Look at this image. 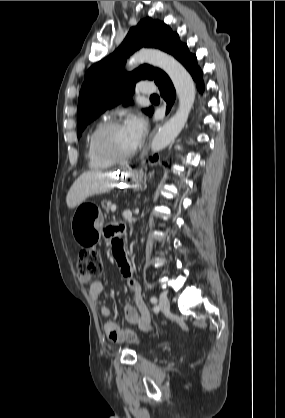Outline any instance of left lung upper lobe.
Listing matches in <instances>:
<instances>
[{
  "label": "left lung upper lobe",
  "instance_id": "1",
  "mask_svg": "<svg viewBox=\"0 0 285 418\" xmlns=\"http://www.w3.org/2000/svg\"><path fill=\"white\" fill-rule=\"evenodd\" d=\"M179 40L164 22L146 18L132 27L122 44L112 54L92 65L85 74L79 94L77 109V136L86 126L110 109L123 102L133 104L131 96L136 83L142 79L156 82L163 72L150 65H141L132 72H125L127 57L142 47L159 48L170 53L173 44ZM152 108L145 113L151 115Z\"/></svg>",
  "mask_w": 285,
  "mask_h": 418
}]
</instances>
